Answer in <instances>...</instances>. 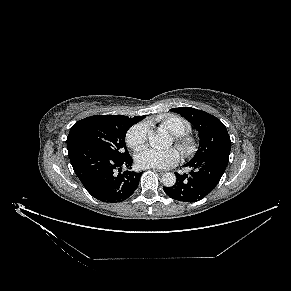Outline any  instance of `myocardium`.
<instances>
[{"label": "myocardium", "instance_id": "myocardium-1", "mask_svg": "<svg viewBox=\"0 0 291 291\" xmlns=\"http://www.w3.org/2000/svg\"><path fill=\"white\" fill-rule=\"evenodd\" d=\"M176 144L184 155H191L196 151L197 143L189 134L176 135Z\"/></svg>", "mask_w": 291, "mask_h": 291}]
</instances>
